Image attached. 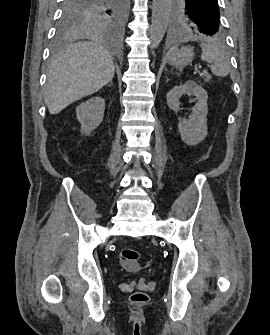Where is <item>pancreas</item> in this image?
Returning <instances> with one entry per match:
<instances>
[{"instance_id":"cf45deb5","label":"pancreas","mask_w":270,"mask_h":335,"mask_svg":"<svg viewBox=\"0 0 270 335\" xmlns=\"http://www.w3.org/2000/svg\"><path fill=\"white\" fill-rule=\"evenodd\" d=\"M205 78H206V82H208V80H211L212 76H209V74H204Z\"/></svg>"}]
</instances>
